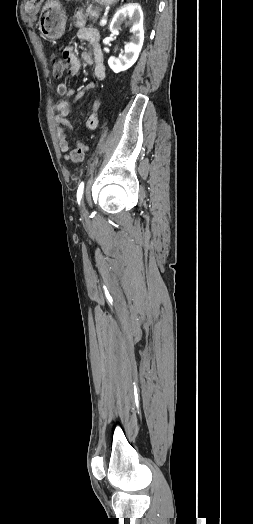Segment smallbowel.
I'll return each instance as SVG.
<instances>
[{
    "mask_svg": "<svg viewBox=\"0 0 253 524\" xmlns=\"http://www.w3.org/2000/svg\"><path fill=\"white\" fill-rule=\"evenodd\" d=\"M76 26L78 27V38L88 42L91 47V52H82L81 58L84 62L93 66L95 78L98 81H103L106 78L107 69L100 47V34L96 29L86 26L82 20H77ZM61 58L66 65L64 68L66 74L76 75L80 71L81 62L71 48L65 49L61 55ZM59 83L60 84L57 87L58 93L67 97L80 98L86 96L93 89L92 84H88L78 92L68 89L66 86L68 80L65 77L60 78ZM99 109L100 101L99 99L94 98L91 102V112L85 124L87 129L94 130L98 127L99 118L97 116V112ZM56 110V126L59 148L61 151L67 152L69 149V144L64 129H74L75 127L74 122L67 118L70 112L69 102L65 99L59 100L56 105Z\"/></svg>",
    "mask_w": 253,
    "mask_h": 524,
    "instance_id": "c3829d8e",
    "label": "small bowel"
}]
</instances>
